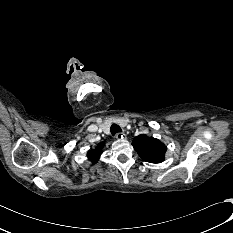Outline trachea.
I'll list each match as a JSON object with an SVG mask.
<instances>
[{"label": "trachea", "mask_w": 233, "mask_h": 233, "mask_svg": "<svg viewBox=\"0 0 233 233\" xmlns=\"http://www.w3.org/2000/svg\"><path fill=\"white\" fill-rule=\"evenodd\" d=\"M110 131L112 135H115L116 133L122 132V129L117 124H112Z\"/></svg>", "instance_id": "trachea-1"}]
</instances>
